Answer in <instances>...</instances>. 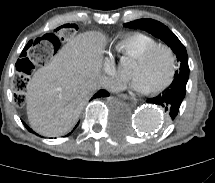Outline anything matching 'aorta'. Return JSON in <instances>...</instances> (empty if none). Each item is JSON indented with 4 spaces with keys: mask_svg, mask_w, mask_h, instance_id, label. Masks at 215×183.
I'll return each mask as SVG.
<instances>
[{
    "mask_svg": "<svg viewBox=\"0 0 215 183\" xmlns=\"http://www.w3.org/2000/svg\"><path fill=\"white\" fill-rule=\"evenodd\" d=\"M164 120L163 112L153 106H144L137 110L134 117L136 128L143 132H154L158 130Z\"/></svg>",
    "mask_w": 215,
    "mask_h": 183,
    "instance_id": "1",
    "label": "aorta"
}]
</instances>
